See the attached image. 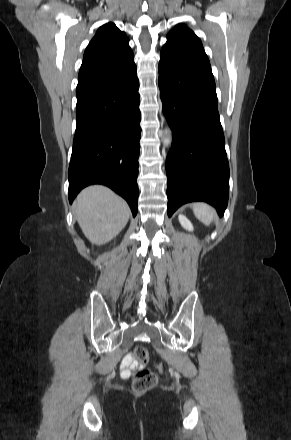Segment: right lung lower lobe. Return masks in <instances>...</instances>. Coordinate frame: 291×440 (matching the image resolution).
<instances>
[{
  "mask_svg": "<svg viewBox=\"0 0 291 440\" xmlns=\"http://www.w3.org/2000/svg\"><path fill=\"white\" fill-rule=\"evenodd\" d=\"M136 68L118 77L76 88L77 126L68 171L69 201L90 184L121 195L138 210L140 95Z\"/></svg>",
  "mask_w": 291,
  "mask_h": 440,
  "instance_id": "98d812e1",
  "label": "right lung lower lobe"
}]
</instances>
